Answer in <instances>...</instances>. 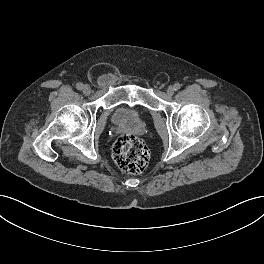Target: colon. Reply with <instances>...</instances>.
<instances>
[{
    "label": "colon",
    "mask_w": 264,
    "mask_h": 264,
    "mask_svg": "<svg viewBox=\"0 0 264 264\" xmlns=\"http://www.w3.org/2000/svg\"><path fill=\"white\" fill-rule=\"evenodd\" d=\"M112 156L122 171L137 174L147 167L149 150L140 138L126 134L116 140Z\"/></svg>",
    "instance_id": "1"
}]
</instances>
